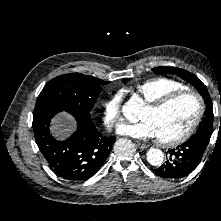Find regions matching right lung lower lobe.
<instances>
[{
    "mask_svg": "<svg viewBox=\"0 0 221 221\" xmlns=\"http://www.w3.org/2000/svg\"><path fill=\"white\" fill-rule=\"evenodd\" d=\"M58 112L61 110L50 104L35 105L32 125L38 148L57 176L69 181L87 180L104 164L116 138L102 136L92 120L73 115L76 131L65 141H59L49 129Z\"/></svg>",
    "mask_w": 221,
    "mask_h": 221,
    "instance_id": "right-lung-lower-lobe-1",
    "label": "right lung lower lobe"
}]
</instances>
